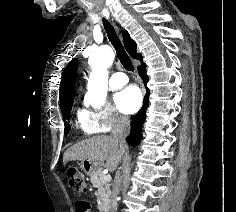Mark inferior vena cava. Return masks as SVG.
<instances>
[{
  "mask_svg": "<svg viewBox=\"0 0 236 212\" xmlns=\"http://www.w3.org/2000/svg\"><path fill=\"white\" fill-rule=\"evenodd\" d=\"M130 133V119L127 116H119L113 125L111 136L115 139H118L121 143L125 142V138ZM123 175L120 172L116 174L114 179V189L112 192V212L117 209V196L119 193L120 185L122 182Z\"/></svg>",
  "mask_w": 236,
  "mask_h": 212,
  "instance_id": "obj_1",
  "label": "inferior vena cava"
}]
</instances>
